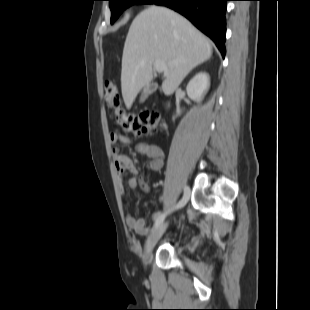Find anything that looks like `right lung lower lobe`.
I'll list each match as a JSON object with an SVG mask.
<instances>
[{
    "label": "right lung lower lobe",
    "mask_w": 310,
    "mask_h": 310,
    "mask_svg": "<svg viewBox=\"0 0 310 310\" xmlns=\"http://www.w3.org/2000/svg\"><path fill=\"white\" fill-rule=\"evenodd\" d=\"M229 0H153L151 4L169 7L209 36L225 56L226 2Z\"/></svg>",
    "instance_id": "98d812e1"
}]
</instances>
